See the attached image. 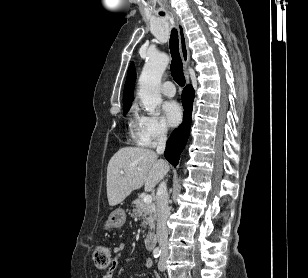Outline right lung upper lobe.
I'll return each instance as SVG.
<instances>
[{"label":"right lung upper lobe","instance_id":"obj_1","mask_svg":"<svg viewBox=\"0 0 308 278\" xmlns=\"http://www.w3.org/2000/svg\"><path fill=\"white\" fill-rule=\"evenodd\" d=\"M135 78V68L134 65L131 64L128 69L127 79L124 87L123 103H132Z\"/></svg>","mask_w":308,"mask_h":278}]
</instances>
